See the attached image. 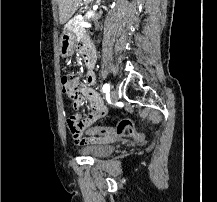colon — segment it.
Here are the masks:
<instances>
[{
	"label": "colon",
	"instance_id": "5ec220e1",
	"mask_svg": "<svg viewBox=\"0 0 217 202\" xmlns=\"http://www.w3.org/2000/svg\"><path fill=\"white\" fill-rule=\"evenodd\" d=\"M79 79L74 73H65L61 80L62 91L72 99L73 106H77L78 100L81 96H78V91L74 89L73 82ZM66 126L68 131H75L74 127L77 126L74 116L70 115L66 118ZM92 132H115L116 135H130L134 136V140H143L145 137L141 135L140 131L134 129L133 123L130 119H122L117 127H91L85 131V138H90Z\"/></svg>",
	"mask_w": 217,
	"mask_h": 202
}]
</instances>
